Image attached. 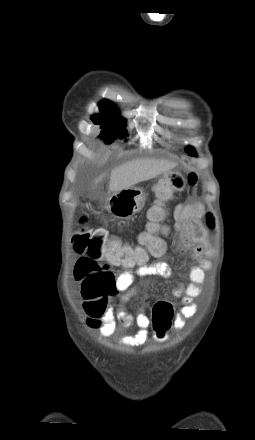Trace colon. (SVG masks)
<instances>
[{
  "instance_id": "5ec220e1",
  "label": "colon",
  "mask_w": 255,
  "mask_h": 440,
  "mask_svg": "<svg viewBox=\"0 0 255 440\" xmlns=\"http://www.w3.org/2000/svg\"><path fill=\"white\" fill-rule=\"evenodd\" d=\"M197 174L189 172L186 177L180 173H171L155 187L156 204L148 213L147 230L140 235L145 248L122 244L116 238H109L107 231L91 228L82 219V226L72 239L75 252L82 255L75 265V278L81 286L84 309L88 317H100L107 310L108 299L116 292L111 269L121 265L133 266L140 263L148 253L160 255L163 244L156 234L161 232L165 217L163 206L181 190L185 184L195 185ZM207 226L212 228L214 218L207 216ZM174 306L167 298H156L152 311L154 342H167L168 332L174 319Z\"/></svg>"
}]
</instances>
